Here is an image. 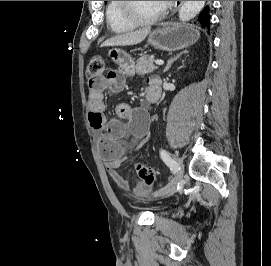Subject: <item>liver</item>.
Wrapping results in <instances>:
<instances>
[{
    "mask_svg": "<svg viewBox=\"0 0 271 266\" xmlns=\"http://www.w3.org/2000/svg\"><path fill=\"white\" fill-rule=\"evenodd\" d=\"M151 28H144L133 32H128L111 37L102 43L105 46H130L141 43L150 33Z\"/></svg>",
    "mask_w": 271,
    "mask_h": 266,
    "instance_id": "obj_1",
    "label": "liver"
}]
</instances>
